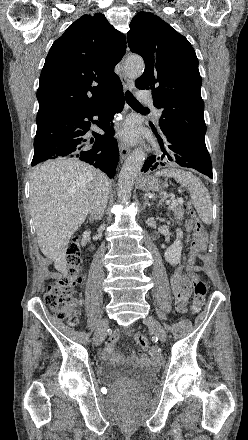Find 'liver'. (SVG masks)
<instances>
[{
	"mask_svg": "<svg viewBox=\"0 0 248 440\" xmlns=\"http://www.w3.org/2000/svg\"><path fill=\"white\" fill-rule=\"evenodd\" d=\"M106 176L77 159H55L37 166L30 177V209L41 252L55 269L67 272L66 251L85 221L95 184Z\"/></svg>",
	"mask_w": 248,
	"mask_h": 440,
	"instance_id": "6515ba94",
	"label": "liver"
}]
</instances>
